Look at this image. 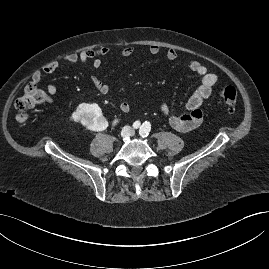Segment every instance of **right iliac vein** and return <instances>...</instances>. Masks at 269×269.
<instances>
[{"label":"right iliac vein","instance_id":"1","mask_svg":"<svg viewBox=\"0 0 269 269\" xmlns=\"http://www.w3.org/2000/svg\"><path fill=\"white\" fill-rule=\"evenodd\" d=\"M130 133H131V129L128 126H126L121 131V137L125 138V137L129 136Z\"/></svg>","mask_w":269,"mask_h":269}]
</instances>
